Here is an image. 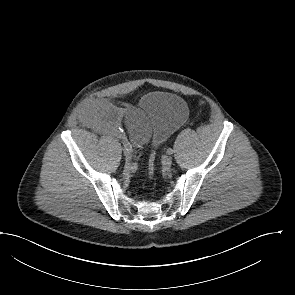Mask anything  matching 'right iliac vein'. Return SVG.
<instances>
[{
    "label": "right iliac vein",
    "instance_id": "1",
    "mask_svg": "<svg viewBox=\"0 0 295 295\" xmlns=\"http://www.w3.org/2000/svg\"><path fill=\"white\" fill-rule=\"evenodd\" d=\"M124 156H125V160L126 162H130L132 160V154H131V151L129 150H125L124 149Z\"/></svg>",
    "mask_w": 295,
    "mask_h": 295
}]
</instances>
